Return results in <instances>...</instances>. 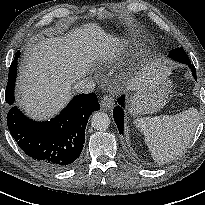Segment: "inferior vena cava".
I'll return each instance as SVG.
<instances>
[{
  "mask_svg": "<svg viewBox=\"0 0 205 205\" xmlns=\"http://www.w3.org/2000/svg\"><path fill=\"white\" fill-rule=\"evenodd\" d=\"M96 83L92 78H83L74 84L77 93H91L95 89Z\"/></svg>",
  "mask_w": 205,
  "mask_h": 205,
  "instance_id": "602c4592",
  "label": "inferior vena cava"
}]
</instances>
